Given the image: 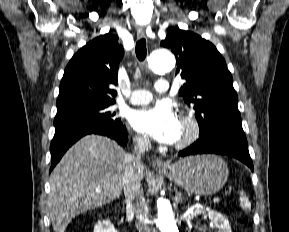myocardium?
Listing matches in <instances>:
<instances>
[{"instance_id": "obj_1", "label": "myocardium", "mask_w": 289, "mask_h": 232, "mask_svg": "<svg viewBox=\"0 0 289 232\" xmlns=\"http://www.w3.org/2000/svg\"><path fill=\"white\" fill-rule=\"evenodd\" d=\"M181 127L184 130L183 136L178 140L176 147L181 149L194 143L200 134V125L192 115H184L181 118Z\"/></svg>"}]
</instances>
